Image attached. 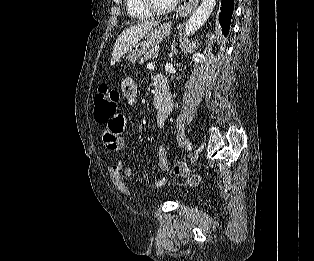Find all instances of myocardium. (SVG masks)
I'll list each match as a JSON object with an SVG mask.
<instances>
[{"instance_id":"obj_1","label":"myocardium","mask_w":314,"mask_h":261,"mask_svg":"<svg viewBox=\"0 0 314 261\" xmlns=\"http://www.w3.org/2000/svg\"><path fill=\"white\" fill-rule=\"evenodd\" d=\"M178 0H173L166 7H158L154 4L153 0H140L143 7L154 15H166L174 10Z\"/></svg>"}]
</instances>
